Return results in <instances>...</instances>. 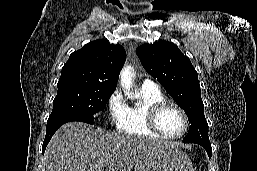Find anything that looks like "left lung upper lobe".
Returning <instances> with one entry per match:
<instances>
[{
	"instance_id": "5c2ea615",
	"label": "left lung upper lobe",
	"mask_w": 257,
	"mask_h": 171,
	"mask_svg": "<svg viewBox=\"0 0 257 171\" xmlns=\"http://www.w3.org/2000/svg\"><path fill=\"white\" fill-rule=\"evenodd\" d=\"M136 52L145 70L187 114L190 126L183 142H209L198 75L190 59L168 41L141 45Z\"/></svg>"
}]
</instances>
